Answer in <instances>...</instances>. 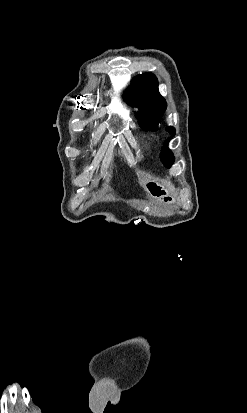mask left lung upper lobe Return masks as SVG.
Wrapping results in <instances>:
<instances>
[{
  "mask_svg": "<svg viewBox=\"0 0 247 413\" xmlns=\"http://www.w3.org/2000/svg\"><path fill=\"white\" fill-rule=\"evenodd\" d=\"M133 89L125 92V100L129 105L138 107L140 112L137 118L140 127L145 131L157 130L161 116L167 108L165 99L158 91L157 78L152 73H144L136 76L132 80ZM166 131L175 135L174 127L168 126ZM170 138L164 143L160 160L167 167H171L174 162V156L167 145Z\"/></svg>",
  "mask_w": 247,
  "mask_h": 413,
  "instance_id": "obj_1",
  "label": "left lung upper lobe"
}]
</instances>
